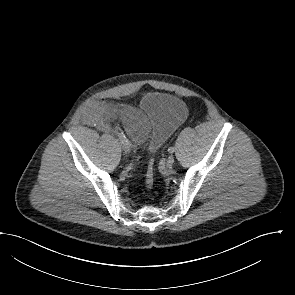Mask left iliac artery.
Masks as SVG:
<instances>
[{"label":"left iliac artery","mask_w":295,"mask_h":295,"mask_svg":"<svg viewBox=\"0 0 295 295\" xmlns=\"http://www.w3.org/2000/svg\"><path fill=\"white\" fill-rule=\"evenodd\" d=\"M174 151H175V148H174V147H169V148H168V152H169V153H174Z\"/></svg>","instance_id":"left-iliac-artery-1"}]
</instances>
